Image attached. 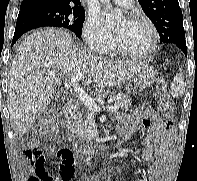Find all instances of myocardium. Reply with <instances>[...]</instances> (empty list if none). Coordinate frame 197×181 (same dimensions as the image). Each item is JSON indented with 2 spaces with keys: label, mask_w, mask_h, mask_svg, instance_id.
<instances>
[{
  "label": "myocardium",
  "mask_w": 197,
  "mask_h": 181,
  "mask_svg": "<svg viewBox=\"0 0 197 181\" xmlns=\"http://www.w3.org/2000/svg\"><path fill=\"white\" fill-rule=\"evenodd\" d=\"M128 21L141 23L149 29L152 37L150 47L148 48V50L142 53L131 52L126 50L124 47H122L118 42L116 36H114V42H113L114 50L118 54L132 59H144L151 56L156 51L158 45V33L155 26L148 19L138 15H132L131 17H129Z\"/></svg>",
  "instance_id": "obj_1"
}]
</instances>
